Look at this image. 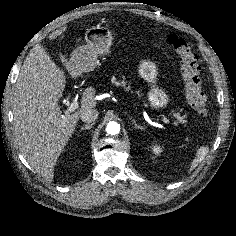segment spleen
Listing matches in <instances>:
<instances>
[{
	"mask_svg": "<svg viewBox=\"0 0 236 236\" xmlns=\"http://www.w3.org/2000/svg\"><path fill=\"white\" fill-rule=\"evenodd\" d=\"M209 148L208 147H200L197 150L196 153V158L193 160L192 164H191V169L193 170L195 167L198 166L199 163H201L203 161V159L206 157V155L208 154Z\"/></svg>",
	"mask_w": 236,
	"mask_h": 236,
	"instance_id": "1",
	"label": "spleen"
}]
</instances>
